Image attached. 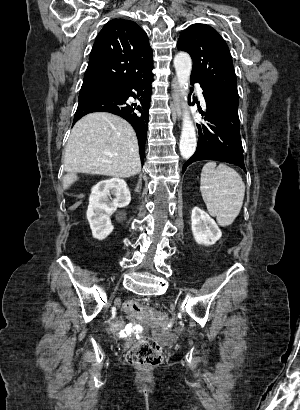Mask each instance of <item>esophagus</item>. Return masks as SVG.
<instances>
[{
	"label": "esophagus",
	"mask_w": 300,
	"mask_h": 410,
	"mask_svg": "<svg viewBox=\"0 0 300 410\" xmlns=\"http://www.w3.org/2000/svg\"><path fill=\"white\" fill-rule=\"evenodd\" d=\"M172 111L173 115L177 118L180 119L182 116V108H181V98H180V92H179V85L176 79H173L172 81Z\"/></svg>",
	"instance_id": "obj_1"
}]
</instances>
